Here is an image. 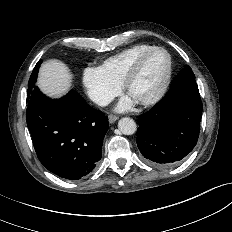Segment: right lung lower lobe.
<instances>
[{
    "mask_svg": "<svg viewBox=\"0 0 232 232\" xmlns=\"http://www.w3.org/2000/svg\"><path fill=\"white\" fill-rule=\"evenodd\" d=\"M26 121L40 162L70 180L88 175L102 157L108 118L76 91L50 99L38 88L27 98Z\"/></svg>",
    "mask_w": 232,
    "mask_h": 232,
    "instance_id": "right-lung-lower-lobe-1",
    "label": "right lung lower lobe"
}]
</instances>
